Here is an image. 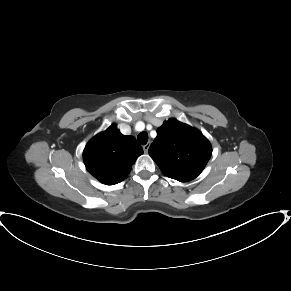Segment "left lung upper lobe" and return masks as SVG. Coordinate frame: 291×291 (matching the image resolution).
Segmentation results:
<instances>
[{"mask_svg": "<svg viewBox=\"0 0 291 291\" xmlns=\"http://www.w3.org/2000/svg\"><path fill=\"white\" fill-rule=\"evenodd\" d=\"M211 145L197 129L169 119L157 129L149 155L162 173L180 182L196 178L211 157Z\"/></svg>", "mask_w": 291, "mask_h": 291, "instance_id": "left-lung-upper-lobe-1", "label": "left lung upper lobe"}]
</instances>
